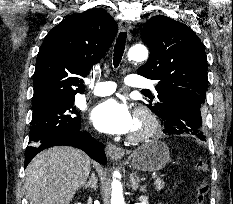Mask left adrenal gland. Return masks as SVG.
<instances>
[{
	"mask_svg": "<svg viewBox=\"0 0 233 204\" xmlns=\"http://www.w3.org/2000/svg\"><path fill=\"white\" fill-rule=\"evenodd\" d=\"M144 181V178H139L136 172L131 173L130 175V183L131 188L133 191H136L140 187V191L144 192L146 191V186H140V182Z\"/></svg>",
	"mask_w": 233,
	"mask_h": 204,
	"instance_id": "1",
	"label": "left adrenal gland"
}]
</instances>
